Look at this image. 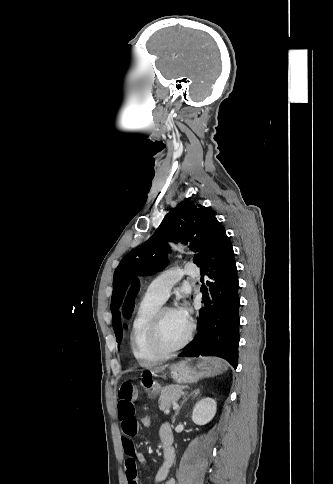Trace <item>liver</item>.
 Segmentation results:
<instances>
[{"mask_svg":"<svg viewBox=\"0 0 333 484\" xmlns=\"http://www.w3.org/2000/svg\"><path fill=\"white\" fill-rule=\"evenodd\" d=\"M168 367V365H163V366H156L153 368V371L158 373V372H162L163 370H165L166 368Z\"/></svg>","mask_w":333,"mask_h":484,"instance_id":"6515ba94","label":"liver"}]
</instances>
